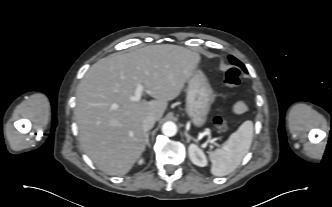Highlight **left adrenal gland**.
<instances>
[{
    "mask_svg": "<svg viewBox=\"0 0 332 207\" xmlns=\"http://www.w3.org/2000/svg\"><path fill=\"white\" fill-rule=\"evenodd\" d=\"M185 137H186L188 143L190 142V140H194V138L192 136H190L187 132H185Z\"/></svg>",
    "mask_w": 332,
    "mask_h": 207,
    "instance_id": "1",
    "label": "left adrenal gland"
}]
</instances>
